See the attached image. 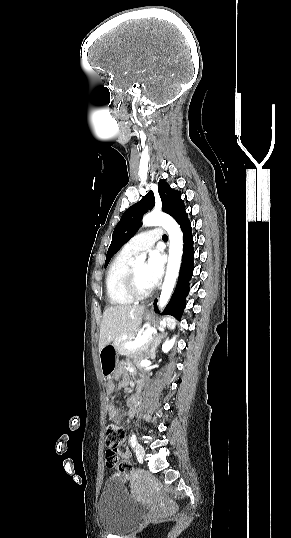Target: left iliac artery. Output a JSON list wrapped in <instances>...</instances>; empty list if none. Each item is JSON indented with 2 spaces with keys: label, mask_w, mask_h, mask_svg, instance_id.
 <instances>
[{
  "label": "left iliac artery",
  "mask_w": 291,
  "mask_h": 538,
  "mask_svg": "<svg viewBox=\"0 0 291 538\" xmlns=\"http://www.w3.org/2000/svg\"><path fill=\"white\" fill-rule=\"evenodd\" d=\"M130 443H131V447L134 448L136 443H137V439H136V435L135 434H132L131 438H130Z\"/></svg>",
  "instance_id": "44dca946"
}]
</instances>
